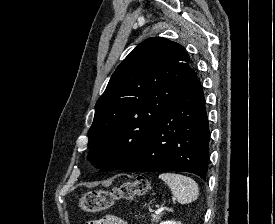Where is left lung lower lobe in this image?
<instances>
[{"label":"left lung lower lobe","instance_id":"obj_1","mask_svg":"<svg viewBox=\"0 0 275 224\" xmlns=\"http://www.w3.org/2000/svg\"><path fill=\"white\" fill-rule=\"evenodd\" d=\"M210 131L205 98L195 75L153 126L125 171L191 172L206 180Z\"/></svg>","mask_w":275,"mask_h":224}]
</instances>
